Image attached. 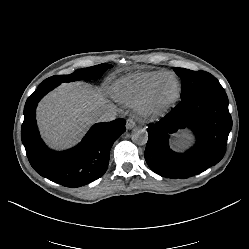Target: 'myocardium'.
I'll list each match as a JSON object with an SVG mask.
<instances>
[{
	"label": "myocardium",
	"mask_w": 249,
	"mask_h": 249,
	"mask_svg": "<svg viewBox=\"0 0 249 249\" xmlns=\"http://www.w3.org/2000/svg\"><path fill=\"white\" fill-rule=\"evenodd\" d=\"M174 78L177 81V92L169 101L161 104L154 102L157 87L166 79ZM182 96V82L174 73H166L155 79L135 104L136 114L143 120H156L165 117L180 101Z\"/></svg>",
	"instance_id": "obj_1"
}]
</instances>
